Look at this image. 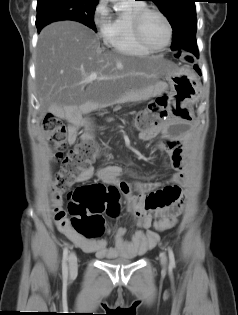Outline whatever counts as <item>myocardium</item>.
<instances>
[{"label":"myocardium","instance_id":"myocardium-1","mask_svg":"<svg viewBox=\"0 0 238 315\" xmlns=\"http://www.w3.org/2000/svg\"><path fill=\"white\" fill-rule=\"evenodd\" d=\"M156 14L158 16H160L163 21L166 24L167 27V31H168V37H167V41L164 45L160 46V47H155L152 46L151 44H149L143 36L142 33V24L143 21L145 19V17L150 14ZM132 28H133V33L134 36L137 40V42L144 48H146L147 50L151 51V52H159V51H163L165 50L172 42V37H173V28L171 25L170 20L168 19V17L160 10L156 9V8H149V7H144L143 9L137 11L135 13V15L133 16V20H132Z\"/></svg>","mask_w":238,"mask_h":315}]
</instances>
